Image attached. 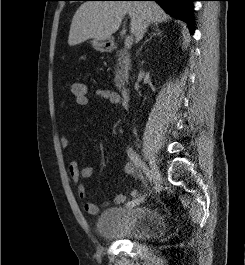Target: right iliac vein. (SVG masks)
<instances>
[{
    "label": "right iliac vein",
    "mask_w": 245,
    "mask_h": 265,
    "mask_svg": "<svg viewBox=\"0 0 245 265\" xmlns=\"http://www.w3.org/2000/svg\"><path fill=\"white\" fill-rule=\"evenodd\" d=\"M150 173H151L153 182L156 183L160 178V172H159V169L156 163L152 159L150 160Z\"/></svg>",
    "instance_id": "right-iliac-vein-1"
}]
</instances>
